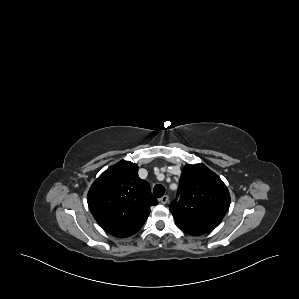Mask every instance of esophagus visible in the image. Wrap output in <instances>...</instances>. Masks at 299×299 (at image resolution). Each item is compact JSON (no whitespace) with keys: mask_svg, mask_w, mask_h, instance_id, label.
Instances as JSON below:
<instances>
[{"mask_svg":"<svg viewBox=\"0 0 299 299\" xmlns=\"http://www.w3.org/2000/svg\"><path fill=\"white\" fill-rule=\"evenodd\" d=\"M168 201H169V196H167V195H164L160 198V202L162 204H166Z\"/></svg>","mask_w":299,"mask_h":299,"instance_id":"obj_1","label":"esophagus"}]
</instances>
